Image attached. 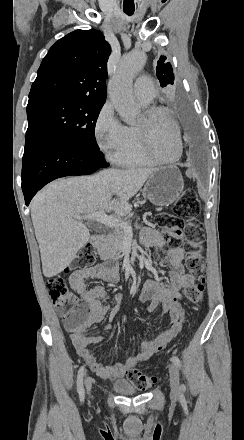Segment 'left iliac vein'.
<instances>
[{
	"instance_id": "4c4485c4",
	"label": "left iliac vein",
	"mask_w": 244,
	"mask_h": 440,
	"mask_svg": "<svg viewBox=\"0 0 244 440\" xmlns=\"http://www.w3.org/2000/svg\"><path fill=\"white\" fill-rule=\"evenodd\" d=\"M169 375H170L171 395L175 399L180 400V395H181V387L179 382L180 377H179V371L174 364L169 365Z\"/></svg>"
}]
</instances>
